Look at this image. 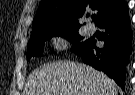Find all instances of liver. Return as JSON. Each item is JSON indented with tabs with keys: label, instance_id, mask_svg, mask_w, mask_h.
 Instances as JSON below:
<instances>
[{
	"label": "liver",
	"instance_id": "obj_1",
	"mask_svg": "<svg viewBox=\"0 0 135 95\" xmlns=\"http://www.w3.org/2000/svg\"><path fill=\"white\" fill-rule=\"evenodd\" d=\"M23 95H117L113 80L94 68L74 62H53L33 71Z\"/></svg>",
	"mask_w": 135,
	"mask_h": 95
}]
</instances>
